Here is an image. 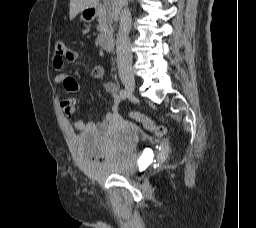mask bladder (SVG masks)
<instances>
[{"mask_svg": "<svg viewBox=\"0 0 256 228\" xmlns=\"http://www.w3.org/2000/svg\"><path fill=\"white\" fill-rule=\"evenodd\" d=\"M139 138L134 127L113 131L107 137L83 134L76 138V150L85 169L93 177H128L137 169Z\"/></svg>", "mask_w": 256, "mask_h": 228, "instance_id": "bladder-1", "label": "bladder"}]
</instances>
